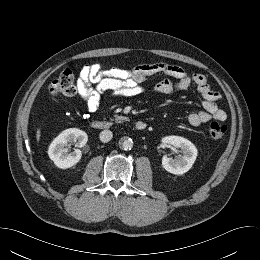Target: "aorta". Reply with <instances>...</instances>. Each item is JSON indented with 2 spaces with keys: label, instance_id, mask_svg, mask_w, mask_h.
Here are the masks:
<instances>
[{
  "label": "aorta",
  "instance_id": "1",
  "mask_svg": "<svg viewBox=\"0 0 260 260\" xmlns=\"http://www.w3.org/2000/svg\"><path fill=\"white\" fill-rule=\"evenodd\" d=\"M119 146L125 151L131 150L133 147V140L131 138L124 137L119 141Z\"/></svg>",
  "mask_w": 260,
  "mask_h": 260
}]
</instances>
